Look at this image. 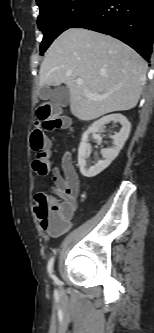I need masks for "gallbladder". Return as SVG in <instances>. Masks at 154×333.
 <instances>
[{
  "label": "gallbladder",
  "instance_id": "obj_1",
  "mask_svg": "<svg viewBox=\"0 0 154 333\" xmlns=\"http://www.w3.org/2000/svg\"><path fill=\"white\" fill-rule=\"evenodd\" d=\"M39 97L42 100L50 99L55 106H65L70 101V92L63 86L51 89L49 86H43L39 89Z\"/></svg>",
  "mask_w": 154,
  "mask_h": 333
}]
</instances>
